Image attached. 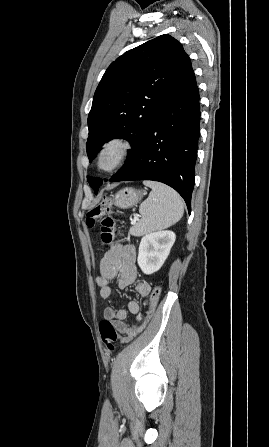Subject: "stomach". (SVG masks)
<instances>
[{
	"mask_svg": "<svg viewBox=\"0 0 269 447\" xmlns=\"http://www.w3.org/2000/svg\"><path fill=\"white\" fill-rule=\"evenodd\" d=\"M143 194L140 192V190H133V188H124V190H120V192H117L115 196H113V204L114 206H117V208H123V210H126V208H133V206H136L138 202H140Z\"/></svg>",
	"mask_w": 269,
	"mask_h": 447,
	"instance_id": "stomach-1",
	"label": "stomach"
}]
</instances>
